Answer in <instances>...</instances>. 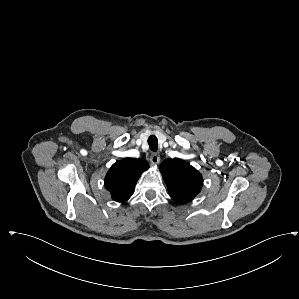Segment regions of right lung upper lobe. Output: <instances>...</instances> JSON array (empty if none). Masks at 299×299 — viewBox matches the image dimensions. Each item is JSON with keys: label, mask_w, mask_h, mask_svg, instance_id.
<instances>
[{"label": "right lung upper lobe", "mask_w": 299, "mask_h": 299, "mask_svg": "<svg viewBox=\"0 0 299 299\" xmlns=\"http://www.w3.org/2000/svg\"><path fill=\"white\" fill-rule=\"evenodd\" d=\"M149 168L146 160L125 158L114 163L105 177V187L117 202L127 201L134 193L140 175Z\"/></svg>", "instance_id": "obj_1"}]
</instances>
